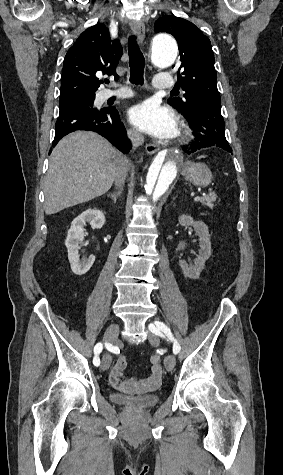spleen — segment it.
<instances>
[{
  "label": "spleen",
  "mask_w": 283,
  "mask_h": 475,
  "mask_svg": "<svg viewBox=\"0 0 283 475\" xmlns=\"http://www.w3.org/2000/svg\"><path fill=\"white\" fill-rule=\"evenodd\" d=\"M201 158H205V156H201Z\"/></svg>",
  "instance_id": "obj_1"
}]
</instances>
